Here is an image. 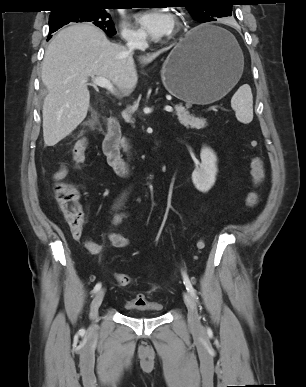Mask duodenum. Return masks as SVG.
<instances>
[{"instance_id":"obj_1","label":"duodenum","mask_w":306,"mask_h":387,"mask_svg":"<svg viewBox=\"0 0 306 387\" xmlns=\"http://www.w3.org/2000/svg\"><path fill=\"white\" fill-rule=\"evenodd\" d=\"M120 132L119 121L115 117L110 118L102 149L108 164L118 175L126 177L131 174L132 169L129 161L122 156L120 151Z\"/></svg>"}]
</instances>
